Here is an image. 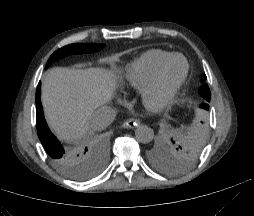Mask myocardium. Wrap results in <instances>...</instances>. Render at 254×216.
Returning a JSON list of instances; mask_svg holds the SVG:
<instances>
[{
  "label": "myocardium",
  "mask_w": 254,
  "mask_h": 216,
  "mask_svg": "<svg viewBox=\"0 0 254 216\" xmlns=\"http://www.w3.org/2000/svg\"><path fill=\"white\" fill-rule=\"evenodd\" d=\"M176 59H181L184 62V70L180 78L164 94L160 96V99L156 103H150L149 98L158 91L164 70L172 61ZM188 73L189 63L187 59L181 54H172L170 57L158 65L150 82L146 87L142 89L140 93L141 102L153 111H163L167 109L172 104L174 98L184 84Z\"/></svg>",
  "instance_id": "1"
}]
</instances>
